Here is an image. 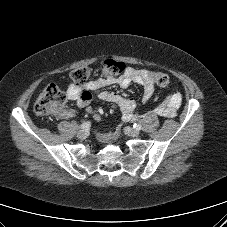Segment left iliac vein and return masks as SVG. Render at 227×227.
<instances>
[{"label":"left iliac vein","instance_id":"left-iliac-vein-1","mask_svg":"<svg viewBox=\"0 0 227 227\" xmlns=\"http://www.w3.org/2000/svg\"><path fill=\"white\" fill-rule=\"evenodd\" d=\"M124 132L129 135V136H132V137H137L139 136L140 132L139 130H136V129H133L131 127H125L124 128Z\"/></svg>","mask_w":227,"mask_h":227}]
</instances>
